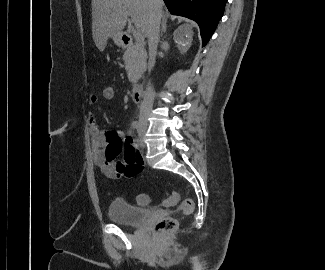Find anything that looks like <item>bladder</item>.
Returning <instances> with one entry per match:
<instances>
[{
    "mask_svg": "<svg viewBox=\"0 0 325 270\" xmlns=\"http://www.w3.org/2000/svg\"><path fill=\"white\" fill-rule=\"evenodd\" d=\"M151 215V211L138 207L122 198H114L108 208V218L110 221L130 226H141Z\"/></svg>",
    "mask_w": 325,
    "mask_h": 270,
    "instance_id": "31cf9c89",
    "label": "bladder"
}]
</instances>
